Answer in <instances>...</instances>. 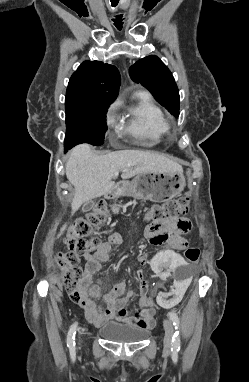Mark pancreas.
Instances as JSON below:
<instances>
[{
    "label": "pancreas",
    "mask_w": 249,
    "mask_h": 382,
    "mask_svg": "<svg viewBox=\"0 0 249 382\" xmlns=\"http://www.w3.org/2000/svg\"><path fill=\"white\" fill-rule=\"evenodd\" d=\"M112 211L114 212V213H118L119 212V208H120V205H118V204H113L112 206Z\"/></svg>",
    "instance_id": "cf45deb5"
}]
</instances>
